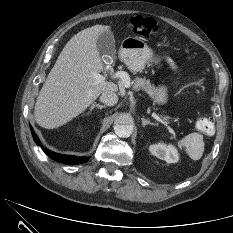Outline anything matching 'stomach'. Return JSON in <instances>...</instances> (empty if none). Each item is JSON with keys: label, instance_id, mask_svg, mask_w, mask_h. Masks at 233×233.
Wrapping results in <instances>:
<instances>
[{"label": "stomach", "instance_id": "1", "mask_svg": "<svg viewBox=\"0 0 233 233\" xmlns=\"http://www.w3.org/2000/svg\"><path fill=\"white\" fill-rule=\"evenodd\" d=\"M119 56L131 71L138 72L153 59L154 53L143 40L137 37H127L122 41ZM167 99V88L159 86L155 92V101L164 104Z\"/></svg>", "mask_w": 233, "mask_h": 233}]
</instances>
